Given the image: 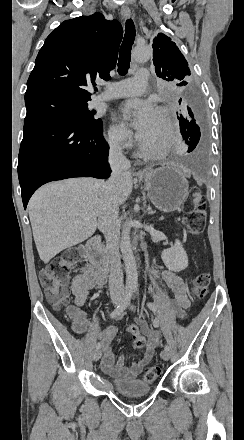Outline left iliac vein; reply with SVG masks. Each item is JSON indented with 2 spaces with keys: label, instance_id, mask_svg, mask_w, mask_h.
I'll return each instance as SVG.
<instances>
[{
  "label": "left iliac vein",
  "instance_id": "4c4485c4",
  "mask_svg": "<svg viewBox=\"0 0 244 440\" xmlns=\"http://www.w3.org/2000/svg\"><path fill=\"white\" fill-rule=\"evenodd\" d=\"M130 308L131 309H133V306H130ZM160 356H161V358L163 359V360H169V357H170V353H169V351L168 350H162L161 352H160Z\"/></svg>",
  "mask_w": 244,
  "mask_h": 440
}]
</instances>
